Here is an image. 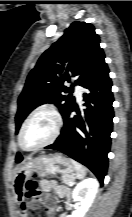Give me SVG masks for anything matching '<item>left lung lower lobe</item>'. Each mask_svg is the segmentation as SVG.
Wrapping results in <instances>:
<instances>
[{"mask_svg": "<svg viewBox=\"0 0 132 217\" xmlns=\"http://www.w3.org/2000/svg\"><path fill=\"white\" fill-rule=\"evenodd\" d=\"M82 87L86 89L83 94L85 108L80 110L74 104L63 116L60 136L45 148L61 151L87 166L102 185L108 167L114 117L112 82L105 61ZM72 111L77 114L71 118ZM21 160L17 157L16 162Z\"/></svg>", "mask_w": 132, "mask_h": 217, "instance_id": "1", "label": "left lung lower lobe"}]
</instances>
